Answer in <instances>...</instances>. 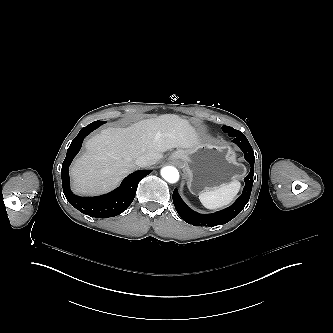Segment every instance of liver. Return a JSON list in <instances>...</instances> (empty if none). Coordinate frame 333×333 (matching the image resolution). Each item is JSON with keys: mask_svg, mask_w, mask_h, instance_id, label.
<instances>
[{"mask_svg": "<svg viewBox=\"0 0 333 333\" xmlns=\"http://www.w3.org/2000/svg\"><path fill=\"white\" fill-rule=\"evenodd\" d=\"M201 142L189 121L175 114L142 120L127 128L103 129L86 141V153L72 165L73 189L83 195L108 192L137 169L138 157L145 155L154 165L170 149H194Z\"/></svg>", "mask_w": 333, "mask_h": 333, "instance_id": "6515ba94", "label": "liver"}]
</instances>
